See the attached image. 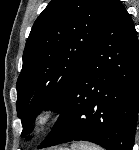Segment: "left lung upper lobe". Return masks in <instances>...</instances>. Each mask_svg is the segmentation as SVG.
<instances>
[{
  "mask_svg": "<svg viewBox=\"0 0 139 150\" xmlns=\"http://www.w3.org/2000/svg\"><path fill=\"white\" fill-rule=\"evenodd\" d=\"M115 0H52L36 19L18 77L17 113L25 136L42 109L58 110L110 15Z\"/></svg>",
  "mask_w": 139,
  "mask_h": 150,
  "instance_id": "obj_1",
  "label": "left lung upper lobe"
}]
</instances>
